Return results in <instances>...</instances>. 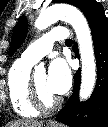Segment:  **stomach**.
<instances>
[{
    "instance_id": "0dacf381",
    "label": "stomach",
    "mask_w": 108,
    "mask_h": 127,
    "mask_svg": "<svg viewBox=\"0 0 108 127\" xmlns=\"http://www.w3.org/2000/svg\"><path fill=\"white\" fill-rule=\"evenodd\" d=\"M45 127H62V126L56 122H48Z\"/></svg>"
}]
</instances>
